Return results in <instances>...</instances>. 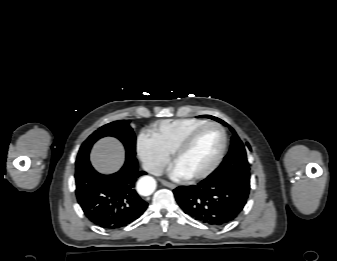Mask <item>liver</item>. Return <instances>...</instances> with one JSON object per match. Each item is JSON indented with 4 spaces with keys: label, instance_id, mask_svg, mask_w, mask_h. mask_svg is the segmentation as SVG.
Segmentation results:
<instances>
[{
    "label": "liver",
    "instance_id": "obj_1",
    "mask_svg": "<svg viewBox=\"0 0 337 261\" xmlns=\"http://www.w3.org/2000/svg\"><path fill=\"white\" fill-rule=\"evenodd\" d=\"M90 160L94 168L100 173L116 172L124 162L123 146L115 138H103L94 145Z\"/></svg>",
    "mask_w": 337,
    "mask_h": 261
}]
</instances>
